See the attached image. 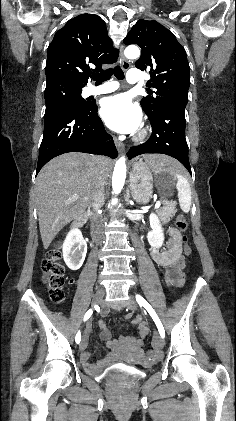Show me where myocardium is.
I'll return each instance as SVG.
<instances>
[{"mask_svg": "<svg viewBox=\"0 0 236 421\" xmlns=\"http://www.w3.org/2000/svg\"><path fill=\"white\" fill-rule=\"evenodd\" d=\"M147 134H148L147 130H146V129H142V130L138 133V135L136 136V139H137V140H143V139H145V138H146Z\"/></svg>", "mask_w": 236, "mask_h": 421, "instance_id": "obj_1", "label": "myocardium"}]
</instances>
